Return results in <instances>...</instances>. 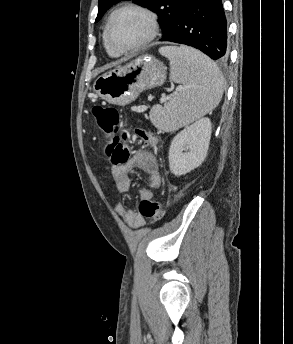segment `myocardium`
I'll return each mask as SVG.
<instances>
[{
  "label": "myocardium",
  "mask_w": 293,
  "mask_h": 344,
  "mask_svg": "<svg viewBox=\"0 0 293 344\" xmlns=\"http://www.w3.org/2000/svg\"><path fill=\"white\" fill-rule=\"evenodd\" d=\"M124 11H134L137 12L139 14H141L147 23V32L145 34V36L143 37V39L141 41H139L138 43L126 47V48H116L115 46H113V44L111 43L110 40V36H109V31H110V27L111 24L114 20V18L124 12ZM159 32V22H158V18L156 16V14L151 11L149 8L140 5V4H136V3H126L121 5L120 7L114 9L111 14L108 17L107 23L105 25V29H104V40L105 43L107 44V46L114 51L117 54H125V53H131V52H135L138 51L144 47H146L149 43H151L156 36L158 35Z\"/></svg>",
  "instance_id": "1"
}]
</instances>
